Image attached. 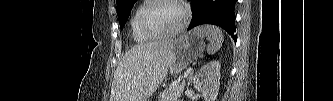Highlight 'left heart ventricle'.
<instances>
[{"label": "left heart ventricle", "instance_id": "left-heart-ventricle-1", "mask_svg": "<svg viewBox=\"0 0 333 101\" xmlns=\"http://www.w3.org/2000/svg\"><path fill=\"white\" fill-rule=\"evenodd\" d=\"M181 20V9L171 2L156 5L148 16L150 26L158 32L172 31L178 27Z\"/></svg>", "mask_w": 333, "mask_h": 101}]
</instances>
